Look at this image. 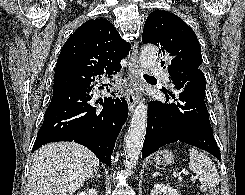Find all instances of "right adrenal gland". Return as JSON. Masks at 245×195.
<instances>
[{
    "instance_id": "obj_1",
    "label": "right adrenal gland",
    "mask_w": 245,
    "mask_h": 195,
    "mask_svg": "<svg viewBox=\"0 0 245 195\" xmlns=\"http://www.w3.org/2000/svg\"><path fill=\"white\" fill-rule=\"evenodd\" d=\"M94 177L100 178L99 173H98V172H95V174H94V175H92V176L90 177V179H92V178H94Z\"/></svg>"
}]
</instances>
